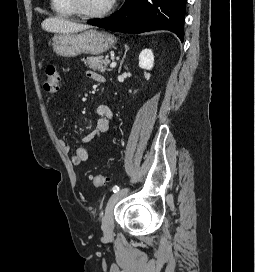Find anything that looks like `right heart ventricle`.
<instances>
[{"instance_id": "1", "label": "right heart ventricle", "mask_w": 255, "mask_h": 272, "mask_svg": "<svg viewBox=\"0 0 255 272\" xmlns=\"http://www.w3.org/2000/svg\"><path fill=\"white\" fill-rule=\"evenodd\" d=\"M50 6L52 11L59 16H63V17L75 16L74 12L69 7L67 0H51Z\"/></svg>"}]
</instances>
